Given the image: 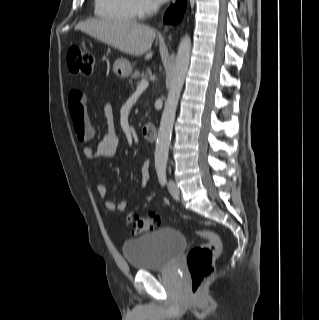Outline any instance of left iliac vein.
Returning <instances> with one entry per match:
<instances>
[{"label":"left iliac vein","mask_w":319,"mask_h":320,"mask_svg":"<svg viewBox=\"0 0 319 320\" xmlns=\"http://www.w3.org/2000/svg\"><path fill=\"white\" fill-rule=\"evenodd\" d=\"M168 189H169V192L174 196V197H177L180 193V189L179 187L177 186V184L173 181V180H170L168 182Z\"/></svg>","instance_id":"1"}]
</instances>
